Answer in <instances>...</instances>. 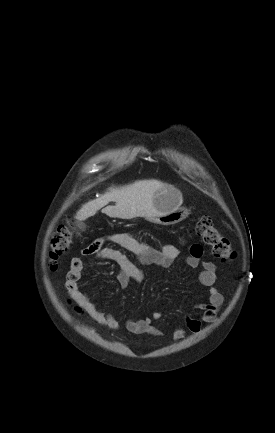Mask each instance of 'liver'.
Here are the masks:
<instances>
[{
  "mask_svg": "<svg viewBox=\"0 0 275 433\" xmlns=\"http://www.w3.org/2000/svg\"><path fill=\"white\" fill-rule=\"evenodd\" d=\"M163 186L165 184L161 181L152 179L136 181L123 187L109 188L99 198L84 204L75 218L84 221L94 216L98 210L112 201L116 203L115 206H106L102 209V212L109 217L121 219L152 218L157 215V210L153 204L154 193Z\"/></svg>",
  "mask_w": 275,
  "mask_h": 433,
  "instance_id": "6515ba94",
  "label": "liver"
}]
</instances>
